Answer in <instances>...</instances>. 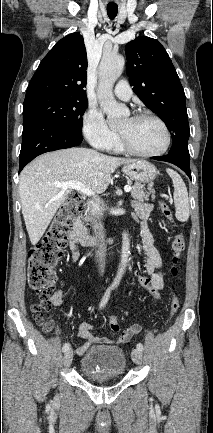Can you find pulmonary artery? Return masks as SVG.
I'll use <instances>...</instances> for the list:
<instances>
[{
  "mask_svg": "<svg viewBox=\"0 0 213 433\" xmlns=\"http://www.w3.org/2000/svg\"><path fill=\"white\" fill-rule=\"evenodd\" d=\"M114 94L123 101H128L132 97V90L126 80H120L114 88Z\"/></svg>",
  "mask_w": 213,
  "mask_h": 433,
  "instance_id": "e3ab8cb5",
  "label": "pulmonary artery"
}]
</instances>
